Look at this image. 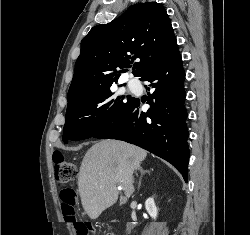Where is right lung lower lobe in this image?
I'll return each mask as SVG.
<instances>
[{"label": "right lung lower lobe", "instance_id": "obj_1", "mask_svg": "<svg viewBox=\"0 0 250 235\" xmlns=\"http://www.w3.org/2000/svg\"><path fill=\"white\" fill-rule=\"evenodd\" d=\"M150 82L151 108L140 110V101L130 105L94 138L124 140L146 149L167 160L182 174L187 182L189 149L185 125L187 113L184 106L185 72L177 42L168 54L153 65L141 78Z\"/></svg>", "mask_w": 250, "mask_h": 235}]
</instances>
